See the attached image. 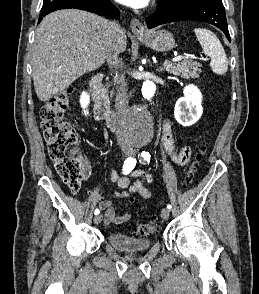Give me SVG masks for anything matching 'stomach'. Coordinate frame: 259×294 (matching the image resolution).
<instances>
[{"label":"stomach","mask_w":259,"mask_h":294,"mask_svg":"<svg viewBox=\"0 0 259 294\" xmlns=\"http://www.w3.org/2000/svg\"><path fill=\"white\" fill-rule=\"evenodd\" d=\"M138 39L151 49L158 52H167L175 47L173 35L164 30L149 32L145 35H137Z\"/></svg>","instance_id":"0dacf381"}]
</instances>
